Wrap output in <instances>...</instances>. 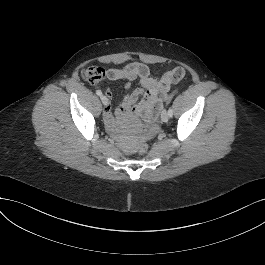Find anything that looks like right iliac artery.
<instances>
[{"mask_svg": "<svg viewBox=\"0 0 265 265\" xmlns=\"http://www.w3.org/2000/svg\"><path fill=\"white\" fill-rule=\"evenodd\" d=\"M96 94H97L98 96H102V92H101L100 90H97V91H96Z\"/></svg>", "mask_w": 265, "mask_h": 265, "instance_id": "right-iliac-artery-1", "label": "right iliac artery"}]
</instances>
